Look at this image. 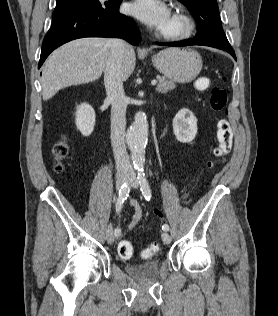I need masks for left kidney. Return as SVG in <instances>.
Instances as JSON below:
<instances>
[{
    "label": "left kidney",
    "instance_id": "5707ae66",
    "mask_svg": "<svg viewBox=\"0 0 278 316\" xmlns=\"http://www.w3.org/2000/svg\"><path fill=\"white\" fill-rule=\"evenodd\" d=\"M173 131L178 141L191 142L197 134V119L188 109H181L173 119Z\"/></svg>",
    "mask_w": 278,
    "mask_h": 316
}]
</instances>
